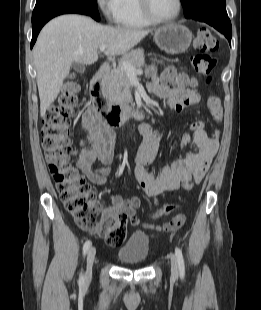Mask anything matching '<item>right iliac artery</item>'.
<instances>
[{"label": "right iliac artery", "instance_id": "obj_1", "mask_svg": "<svg viewBox=\"0 0 261 310\" xmlns=\"http://www.w3.org/2000/svg\"><path fill=\"white\" fill-rule=\"evenodd\" d=\"M91 246V241L90 240H87L84 245H83V254L85 255L88 251V249L90 248ZM79 286L82 287L83 284H84V276L83 274L81 273L80 277H79Z\"/></svg>", "mask_w": 261, "mask_h": 310}]
</instances>
